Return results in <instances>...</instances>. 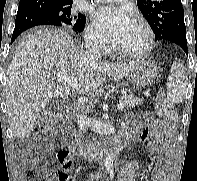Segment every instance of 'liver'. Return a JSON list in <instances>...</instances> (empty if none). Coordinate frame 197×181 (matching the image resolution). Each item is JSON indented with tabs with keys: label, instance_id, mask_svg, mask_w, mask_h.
Listing matches in <instances>:
<instances>
[{
	"label": "liver",
	"instance_id": "6515ba94",
	"mask_svg": "<svg viewBox=\"0 0 197 181\" xmlns=\"http://www.w3.org/2000/svg\"><path fill=\"white\" fill-rule=\"evenodd\" d=\"M134 64L91 61L76 47L73 38L61 30L40 28L26 35L7 71L6 104L14 135L28 137L50 100L69 95L70 85L58 84L55 72L75 77L77 92L85 94L98 89L106 75L115 81L127 76Z\"/></svg>",
	"mask_w": 197,
	"mask_h": 181
}]
</instances>
